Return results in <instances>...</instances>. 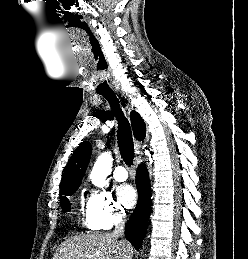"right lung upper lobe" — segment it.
Masks as SVG:
<instances>
[{
  "label": "right lung upper lobe",
  "instance_id": "obj_1",
  "mask_svg": "<svg viewBox=\"0 0 248 259\" xmlns=\"http://www.w3.org/2000/svg\"><path fill=\"white\" fill-rule=\"evenodd\" d=\"M131 124L134 136L137 140H143L146 136V126L139 113L131 112ZM91 144L83 141L72 154L60 184V195L65 191L77 189L84 176L86 167L90 160Z\"/></svg>",
  "mask_w": 248,
  "mask_h": 259
}]
</instances>
